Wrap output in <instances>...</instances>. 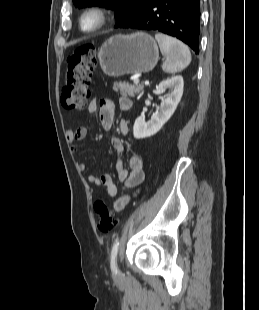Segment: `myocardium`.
Instances as JSON below:
<instances>
[{
  "mask_svg": "<svg viewBox=\"0 0 259 310\" xmlns=\"http://www.w3.org/2000/svg\"><path fill=\"white\" fill-rule=\"evenodd\" d=\"M89 17H95L96 22L92 27H86L85 21ZM108 11L101 6L86 8L79 17V27L85 33H93L102 29L108 22Z\"/></svg>",
  "mask_w": 259,
  "mask_h": 310,
  "instance_id": "f54148a6",
  "label": "myocardium"
}]
</instances>
